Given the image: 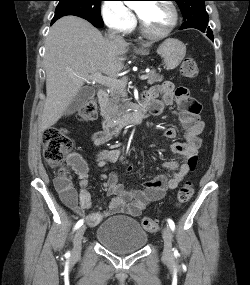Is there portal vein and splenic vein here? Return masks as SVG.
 I'll list each match as a JSON object with an SVG mask.
<instances>
[{
    "label": "portal vein and splenic vein",
    "instance_id": "18ae733b",
    "mask_svg": "<svg viewBox=\"0 0 250 285\" xmlns=\"http://www.w3.org/2000/svg\"><path fill=\"white\" fill-rule=\"evenodd\" d=\"M148 78L147 75H141L139 76L140 80H146ZM87 79L92 80L94 82H97L102 85H106L109 87H114V86H120V85H125L126 80L125 79H117L113 76H104L100 72H96L89 76Z\"/></svg>",
    "mask_w": 250,
    "mask_h": 285
}]
</instances>
